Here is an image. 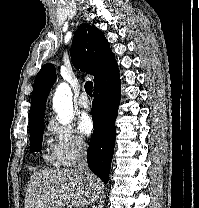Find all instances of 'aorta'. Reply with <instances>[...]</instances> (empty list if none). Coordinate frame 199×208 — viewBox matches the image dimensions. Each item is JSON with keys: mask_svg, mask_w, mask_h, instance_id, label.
Returning a JSON list of instances; mask_svg holds the SVG:
<instances>
[{"mask_svg": "<svg viewBox=\"0 0 199 208\" xmlns=\"http://www.w3.org/2000/svg\"><path fill=\"white\" fill-rule=\"evenodd\" d=\"M53 109L57 113L59 123L67 125L74 117L72 92L66 83L58 85L53 97Z\"/></svg>", "mask_w": 199, "mask_h": 208, "instance_id": "1", "label": "aorta"}]
</instances>
